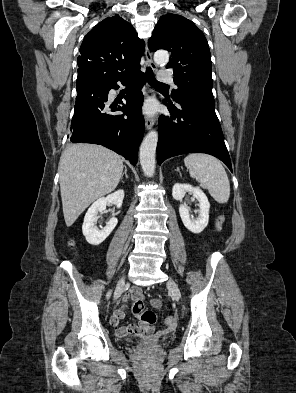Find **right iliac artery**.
<instances>
[{
  "label": "right iliac artery",
  "instance_id": "82829eb1",
  "mask_svg": "<svg viewBox=\"0 0 296 393\" xmlns=\"http://www.w3.org/2000/svg\"><path fill=\"white\" fill-rule=\"evenodd\" d=\"M110 295H111V291H109V292L107 293V298H109Z\"/></svg>",
  "mask_w": 296,
  "mask_h": 393
}]
</instances>
